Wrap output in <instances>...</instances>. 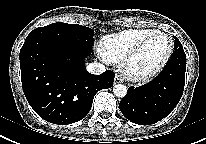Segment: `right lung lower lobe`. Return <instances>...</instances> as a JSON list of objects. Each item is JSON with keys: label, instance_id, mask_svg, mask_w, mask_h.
Masks as SVG:
<instances>
[{"label": "right lung lower lobe", "instance_id": "right-lung-lower-lobe-1", "mask_svg": "<svg viewBox=\"0 0 206 144\" xmlns=\"http://www.w3.org/2000/svg\"><path fill=\"white\" fill-rule=\"evenodd\" d=\"M92 50L48 38L25 41L20 50L21 80L32 109L58 125L80 121L95 94L113 86L114 73L87 72L84 58Z\"/></svg>", "mask_w": 206, "mask_h": 144}]
</instances>
